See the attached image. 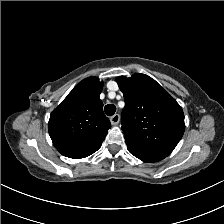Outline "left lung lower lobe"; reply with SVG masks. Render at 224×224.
Here are the masks:
<instances>
[{
  "instance_id": "1",
  "label": "left lung lower lobe",
  "mask_w": 224,
  "mask_h": 224,
  "mask_svg": "<svg viewBox=\"0 0 224 224\" xmlns=\"http://www.w3.org/2000/svg\"><path fill=\"white\" fill-rule=\"evenodd\" d=\"M127 148L131 154H133L135 157L139 158L144 162H157L167 157L162 153L138 148L129 144H127Z\"/></svg>"
}]
</instances>
